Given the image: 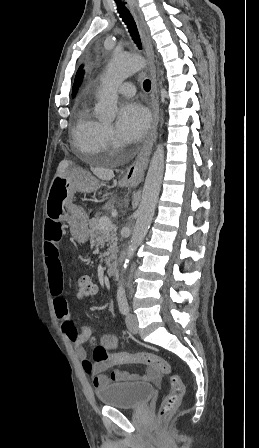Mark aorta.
<instances>
[{
  "mask_svg": "<svg viewBox=\"0 0 259 448\" xmlns=\"http://www.w3.org/2000/svg\"><path fill=\"white\" fill-rule=\"evenodd\" d=\"M146 65V60L139 55H115L107 66L103 76L101 87L97 92V111L104 120L112 121L117 114L118 94L117 87L126 78L138 72ZM164 172V148L158 144L147 172L142 192V198L138 209L136 224L132 233L130 244L126 251V259L123 265L127 267L139 245L142 243L151 225ZM123 278H121L122 282ZM123 292L122 283L118 293Z\"/></svg>",
  "mask_w": 259,
  "mask_h": 448,
  "instance_id": "762f6f07",
  "label": "aorta"
}]
</instances>
